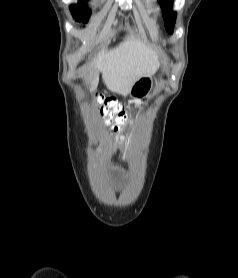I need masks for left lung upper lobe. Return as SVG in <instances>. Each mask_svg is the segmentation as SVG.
I'll return each mask as SVG.
<instances>
[{
  "instance_id": "left-lung-upper-lobe-1",
  "label": "left lung upper lobe",
  "mask_w": 238,
  "mask_h": 278,
  "mask_svg": "<svg viewBox=\"0 0 238 278\" xmlns=\"http://www.w3.org/2000/svg\"><path fill=\"white\" fill-rule=\"evenodd\" d=\"M172 3H173L172 1H168V0L160 1L161 7L163 9V14H164L165 27L170 34L173 33V28L176 19V13L172 11Z\"/></svg>"
}]
</instances>
